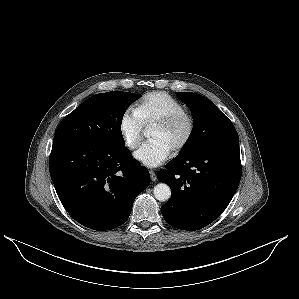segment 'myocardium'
<instances>
[{"label": "myocardium", "instance_id": "1", "mask_svg": "<svg viewBox=\"0 0 299 299\" xmlns=\"http://www.w3.org/2000/svg\"><path fill=\"white\" fill-rule=\"evenodd\" d=\"M180 124L186 125V131L181 141L172 149L173 154H179L182 152L192 140L196 128L195 118L191 114L185 112L166 118L154 124V127H159L166 130L173 129Z\"/></svg>", "mask_w": 299, "mask_h": 299}]
</instances>
